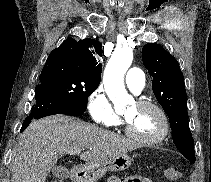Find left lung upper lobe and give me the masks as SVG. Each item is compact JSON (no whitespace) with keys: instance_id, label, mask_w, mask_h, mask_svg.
<instances>
[{"instance_id":"left-lung-upper-lobe-1","label":"left lung upper lobe","mask_w":211,"mask_h":182,"mask_svg":"<svg viewBox=\"0 0 211 182\" xmlns=\"http://www.w3.org/2000/svg\"><path fill=\"white\" fill-rule=\"evenodd\" d=\"M142 60L153 77L154 95L170 120L175 146L194 163V141L188 123L184 76L177 60L155 43H148L143 47Z\"/></svg>"}]
</instances>
